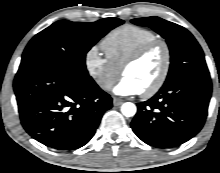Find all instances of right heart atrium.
<instances>
[{
	"instance_id": "obj_1",
	"label": "right heart atrium",
	"mask_w": 220,
	"mask_h": 173,
	"mask_svg": "<svg viewBox=\"0 0 220 173\" xmlns=\"http://www.w3.org/2000/svg\"><path fill=\"white\" fill-rule=\"evenodd\" d=\"M84 67L89 77L103 91H109L120 75V69L104 57L96 46L86 51Z\"/></svg>"
}]
</instances>
